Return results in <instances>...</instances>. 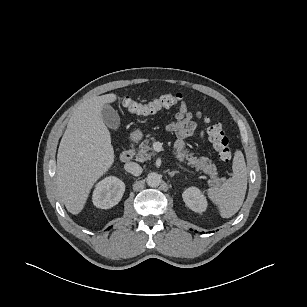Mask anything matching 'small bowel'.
Listing matches in <instances>:
<instances>
[{
	"instance_id": "c3829d8e",
	"label": "small bowel",
	"mask_w": 307,
	"mask_h": 307,
	"mask_svg": "<svg viewBox=\"0 0 307 307\" xmlns=\"http://www.w3.org/2000/svg\"><path fill=\"white\" fill-rule=\"evenodd\" d=\"M194 117L200 118L201 113L197 112L196 114H193L188 109L186 103L182 101L178 112L175 114L174 120L168 123L166 126L167 131L174 133L177 137L174 144V149L177 156H181L186 149L184 139L192 135L198 127L197 123L194 121ZM199 135L201 138H203L204 132L201 131Z\"/></svg>"
}]
</instances>
